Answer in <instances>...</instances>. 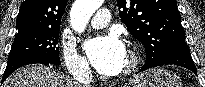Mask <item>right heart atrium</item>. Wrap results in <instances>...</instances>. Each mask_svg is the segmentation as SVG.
Segmentation results:
<instances>
[{
	"label": "right heart atrium",
	"mask_w": 205,
	"mask_h": 87,
	"mask_svg": "<svg viewBox=\"0 0 205 87\" xmlns=\"http://www.w3.org/2000/svg\"><path fill=\"white\" fill-rule=\"evenodd\" d=\"M62 57L67 72L75 78L87 77L91 74V68L87 59L82 56L73 41H62Z\"/></svg>",
	"instance_id": "1"
}]
</instances>
